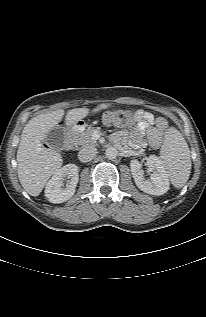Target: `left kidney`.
Instances as JSON below:
<instances>
[{
  "label": "left kidney",
  "instance_id": "obj_1",
  "mask_svg": "<svg viewBox=\"0 0 206 317\" xmlns=\"http://www.w3.org/2000/svg\"><path fill=\"white\" fill-rule=\"evenodd\" d=\"M147 166L153 171L148 180L144 178L141 163L138 160L130 162L132 176L137 187L151 195L165 194L169 190V179L161 160L157 156L151 155L147 159Z\"/></svg>",
  "mask_w": 206,
  "mask_h": 317
}]
</instances>
